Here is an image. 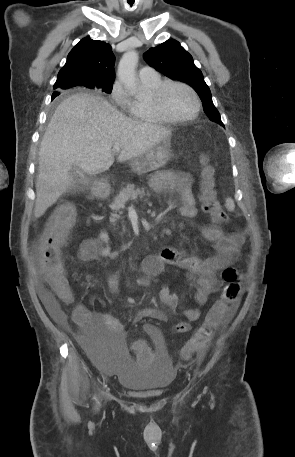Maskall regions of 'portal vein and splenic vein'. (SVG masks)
Here are the masks:
<instances>
[{
    "label": "portal vein and splenic vein",
    "mask_w": 295,
    "mask_h": 457,
    "mask_svg": "<svg viewBox=\"0 0 295 457\" xmlns=\"http://www.w3.org/2000/svg\"><path fill=\"white\" fill-rule=\"evenodd\" d=\"M120 149H121V147H120L119 144L115 143V144L113 145V151H114L115 153L120 152Z\"/></svg>",
    "instance_id": "obj_1"
}]
</instances>
